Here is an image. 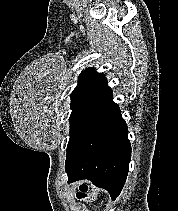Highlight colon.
I'll return each instance as SVG.
<instances>
[{
    "mask_svg": "<svg viewBox=\"0 0 178 211\" xmlns=\"http://www.w3.org/2000/svg\"><path fill=\"white\" fill-rule=\"evenodd\" d=\"M92 198L93 195L90 193L89 185L87 184L80 185L76 194V199L78 201H90L92 200Z\"/></svg>",
    "mask_w": 178,
    "mask_h": 211,
    "instance_id": "1",
    "label": "colon"
}]
</instances>
